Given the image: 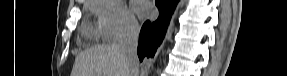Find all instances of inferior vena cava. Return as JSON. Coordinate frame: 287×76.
<instances>
[{"label":"inferior vena cava","instance_id":"602c4592","mask_svg":"<svg viewBox=\"0 0 287 76\" xmlns=\"http://www.w3.org/2000/svg\"><path fill=\"white\" fill-rule=\"evenodd\" d=\"M139 31L138 23L135 20H130L119 42V50L127 58L131 67L130 76H138L139 74V59L137 56Z\"/></svg>","mask_w":287,"mask_h":76}]
</instances>
